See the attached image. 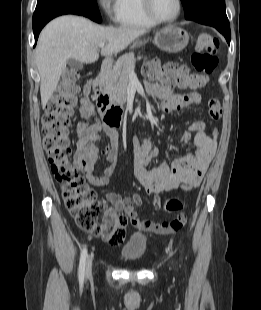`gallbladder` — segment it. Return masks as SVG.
Listing matches in <instances>:
<instances>
[{
  "label": "gallbladder",
  "mask_w": 261,
  "mask_h": 310,
  "mask_svg": "<svg viewBox=\"0 0 261 310\" xmlns=\"http://www.w3.org/2000/svg\"><path fill=\"white\" fill-rule=\"evenodd\" d=\"M68 65L77 69H81L83 67L82 63L74 58L68 59Z\"/></svg>",
  "instance_id": "gallbladder-1"
}]
</instances>
